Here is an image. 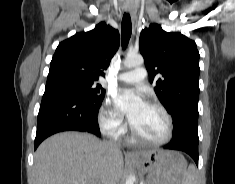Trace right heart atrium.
<instances>
[{"mask_svg": "<svg viewBox=\"0 0 235 184\" xmlns=\"http://www.w3.org/2000/svg\"><path fill=\"white\" fill-rule=\"evenodd\" d=\"M98 122L101 130L108 136L120 137L124 133L123 119L112 111L108 101L98 112Z\"/></svg>", "mask_w": 235, "mask_h": 184, "instance_id": "obj_1", "label": "right heart atrium"}]
</instances>
